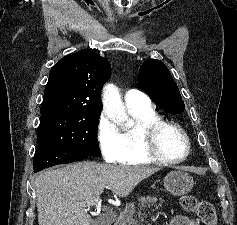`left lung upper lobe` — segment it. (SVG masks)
Here are the masks:
<instances>
[{
    "label": "left lung upper lobe",
    "instance_id": "left-lung-upper-lobe-1",
    "mask_svg": "<svg viewBox=\"0 0 237 225\" xmlns=\"http://www.w3.org/2000/svg\"><path fill=\"white\" fill-rule=\"evenodd\" d=\"M139 86L161 108L173 114L184 111L185 105L170 71L164 63L146 60L139 70Z\"/></svg>",
    "mask_w": 237,
    "mask_h": 225
}]
</instances>
